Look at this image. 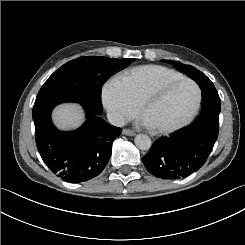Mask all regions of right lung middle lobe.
<instances>
[{"label": "right lung middle lobe", "mask_w": 245, "mask_h": 245, "mask_svg": "<svg viewBox=\"0 0 245 245\" xmlns=\"http://www.w3.org/2000/svg\"><path fill=\"white\" fill-rule=\"evenodd\" d=\"M133 60L89 56L69 61L44 83L35 104L49 100H71L82 103L95 114H101L102 85Z\"/></svg>", "instance_id": "1"}]
</instances>
